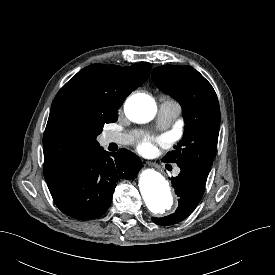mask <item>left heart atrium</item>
<instances>
[{
  "label": "left heart atrium",
  "instance_id": "1",
  "mask_svg": "<svg viewBox=\"0 0 275 275\" xmlns=\"http://www.w3.org/2000/svg\"><path fill=\"white\" fill-rule=\"evenodd\" d=\"M165 142L166 140L164 138H152L146 135H142L138 147L141 151L144 152L152 151L157 144L164 145Z\"/></svg>",
  "mask_w": 275,
  "mask_h": 275
}]
</instances>
